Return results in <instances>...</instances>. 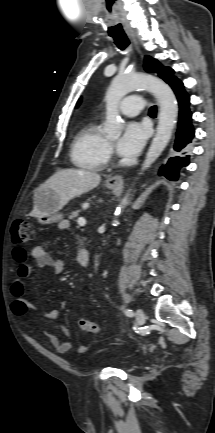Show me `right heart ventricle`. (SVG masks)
<instances>
[{
  "label": "right heart ventricle",
  "instance_id": "1",
  "mask_svg": "<svg viewBox=\"0 0 215 433\" xmlns=\"http://www.w3.org/2000/svg\"><path fill=\"white\" fill-rule=\"evenodd\" d=\"M109 156L108 141L96 118L89 119L78 131L71 148L73 163L84 169L100 170Z\"/></svg>",
  "mask_w": 215,
  "mask_h": 433
}]
</instances>
